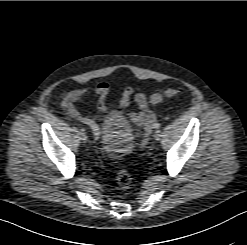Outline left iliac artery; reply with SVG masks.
<instances>
[{
	"mask_svg": "<svg viewBox=\"0 0 247 245\" xmlns=\"http://www.w3.org/2000/svg\"><path fill=\"white\" fill-rule=\"evenodd\" d=\"M153 126H154V128L159 129L161 125H160V123L156 122V123H154Z\"/></svg>",
	"mask_w": 247,
	"mask_h": 245,
	"instance_id": "44dca946",
	"label": "left iliac artery"
}]
</instances>
